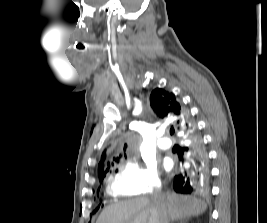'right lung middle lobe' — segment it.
Returning a JSON list of instances; mask_svg holds the SVG:
<instances>
[{
  "label": "right lung middle lobe",
  "mask_w": 267,
  "mask_h": 223,
  "mask_svg": "<svg viewBox=\"0 0 267 223\" xmlns=\"http://www.w3.org/2000/svg\"><path fill=\"white\" fill-rule=\"evenodd\" d=\"M104 176H105V173H104L103 177L100 179V181H102V179L104 178ZM96 210H97V209H96Z\"/></svg>",
  "instance_id": "right-lung-middle-lobe-1"
}]
</instances>
